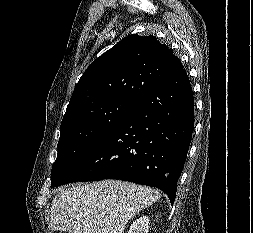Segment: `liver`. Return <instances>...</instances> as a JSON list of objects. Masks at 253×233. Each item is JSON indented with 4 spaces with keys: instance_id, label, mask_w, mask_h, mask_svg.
Listing matches in <instances>:
<instances>
[{
    "instance_id": "obj_1",
    "label": "liver",
    "mask_w": 253,
    "mask_h": 233,
    "mask_svg": "<svg viewBox=\"0 0 253 233\" xmlns=\"http://www.w3.org/2000/svg\"><path fill=\"white\" fill-rule=\"evenodd\" d=\"M160 197L158 190L119 180L73 185L54 197L50 227L68 233H123L133 216Z\"/></svg>"
}]
</instances>
